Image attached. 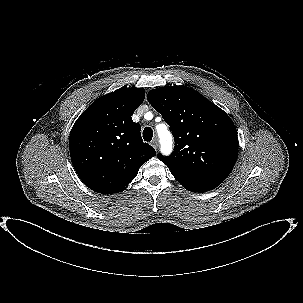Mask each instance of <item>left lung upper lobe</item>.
<instances>
[{
    "label": "left lung upper lobe",
    "instance_id": "left-lung-upper-lobe-1",
    "mask_svg": "<svg viewBox=\"0 0 303 303\" xmlns=\"http://www.w3.org/2000/svg\"><path fill=\"white\" fill-rule=\"evenodd\" d=\"M147 99L174 135L171 156L158 155L172 174L189 178L230 174L237 160L238 135L222 109L185 86L153 89Z\"/></svg>",
    "mask_w": 303,
    "mask_h": 303
}]
</instances>
